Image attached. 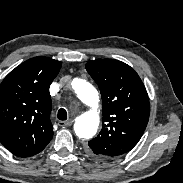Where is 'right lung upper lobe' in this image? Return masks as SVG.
I'll return each mask as SVG.
<instances>
[{"label": "right lung upper lobe", "instance_id": "right-lung-upper-lobe-1", "mask_svg": "<svg viewBox=\"0 0 183 183\" xmlns=\"http://www.w3.org/2000/svg\"><path fill=\"white\" fill-rule=\"evenodd\" d=\"M62 63L29 59L0 84V142L17 157L41 152L53 137L49 87Z\"/></svg>", "mask_w": 183, "mask_h": 183}]
</instances>
